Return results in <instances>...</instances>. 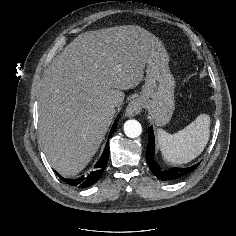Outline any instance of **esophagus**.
Instances as JSON below:
<instances>
[{
  "label": "esophagus",
  "mask_w": 236,
  "mask_h": 236,
  "mask_svg": "<svg viewBox=\"0 0 236 236\" xmlns=\"http://www.w3.org/2000/svg\"><path fill=\"white\" fill-rule=\"evenodd\" d=\"M142 108V100L139 98L133 99L126 108V115L129 117L136 116L142 111Z\"/></svg>",
  "instance_id": "1"
}]
</instances>
